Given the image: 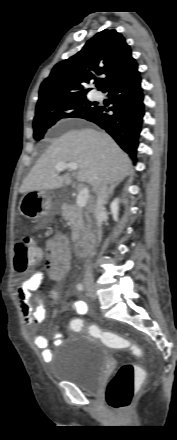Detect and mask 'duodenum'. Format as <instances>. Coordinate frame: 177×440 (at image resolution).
<instances>
[{
	"instance_id": "1",
	"label": "duodenum",
	"mask_w": 177,
	"mask_h": 440,
	"mask_svg": "<svg viewBox=\"0 0 177 440\" xmlns=\"http://www.w3.org/2000/svg\"><path fill=\"white\" fill-rule=\"evenodd\" d=\"M98 237L97 233H92L86 238L80 239L75 244V252L79 257L87 256L92 249V245Z\"/></svg>"
}]
</instances>
